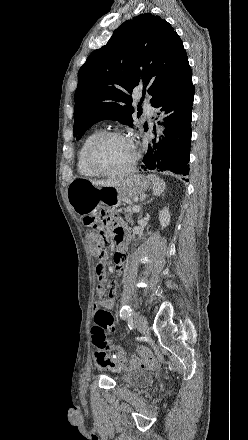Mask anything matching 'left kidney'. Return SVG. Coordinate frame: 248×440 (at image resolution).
Masks as SVG:
<instances>
[{
	"mask_svg": "<svg viewBox=\"0 0 248 440\" xmlns=\"http://www.w3.org/2000/svg\"><path fill=\"white\" fill-rule=\"evenodd\" d=\"M159 221L162 228H165L170 223V213L168 208H164L159 213Z\"/></svg>",
	"mask_w": 248,
	"mask_h": 440,
	"instance_id": "1",
	"label": "left kidney"
}]
</instances>
